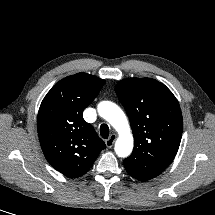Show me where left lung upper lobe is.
Instances as JSON below:
<instances>
[{
  "label": "left lung upper lobe",
  "mask_w": 215,
  "mask_h": 215,
  "mask_svg": "<svg viewBox=\"0 0 215 215\" xmlns=\"http://www.w3.org/2000/svg\"><path fill=\"white\" fill-rule=\"evenodd\" d=\"M115 91L135 140L124 167L132 177L148 181L161 174L178 151L183 130L179 103L164 84L152 78L121 80Z\"/></svg>",
  "instance_id": "1"
}]
</instances>
